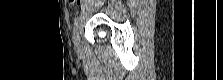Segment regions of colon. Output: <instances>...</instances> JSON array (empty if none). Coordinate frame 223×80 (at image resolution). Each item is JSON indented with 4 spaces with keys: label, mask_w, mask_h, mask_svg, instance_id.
<instances>
[{
    "label": "colon",
    "mask_w": 223,
    "mask_h": 80,
    "mask_svg": "<svg viewBox=\"0 0 223 80\" xmlns=\"http://www.w3.org/2000/svg\"><path fill=\"white\" fill-rule=\"evenodd\" d=\"M69 3L72 5H79L81 3V0H69Z\"/></svg>",
    "instance_id": "1"
}]
</instances>
